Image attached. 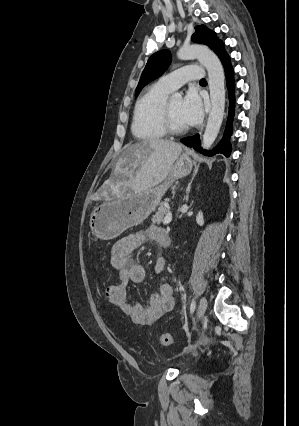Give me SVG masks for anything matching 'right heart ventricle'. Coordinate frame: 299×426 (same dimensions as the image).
<instances>
[{
    "label": "right heart ventricle",
    "mask_w": 299,
    "mask_h": 426,
    "mask_svg": "<svg viewBox=\"0 0 299 426\" xmlns=\"http://www.w3.org/2000/svg\"><path fill=\"white\" fill-rule=\"evenodd\" d=\"M171 91L156 82L149 86L137 100L132 122V133L144 141H155L166 136L161 114Z\"/></svg>",
    "instance_id": "obj_1"
}]
</instances>
